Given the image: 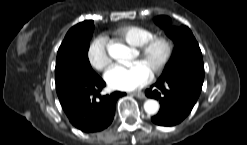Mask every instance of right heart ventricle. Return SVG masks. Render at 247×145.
Returning a JSON list of instances; mask_svg holds the SVG:
<instances>
[{
	"mask_svg": "<svg viewBox=\"0 0 247 145\" xmlns=\"http://www.w3.org/2000/svg\"><path fill=\"white\" fill-rule=\"evenodd\" d=\"M115 34L132 46H139L155 35L153 30L138 25L120 27Z\"/></svg>",
	"mask_w": 247,
	"mask_h": 145,
	"instance_id": "e07e8e85",
	"label": "right heart ventricle"
}]
</instances>
